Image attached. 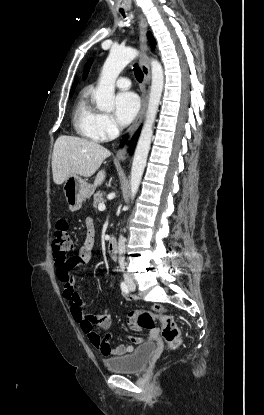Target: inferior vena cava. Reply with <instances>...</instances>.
<instances>
[{"instance_id":"inferior-vena-cava-1","label":"inferior vena cava","mask_w":264,"mask_h":415,"mask_svg":"<svg viewBox=\"0 0 264 415\" xmlns=\"http://www.w3.org/2000/svg\"><path fill=\"white\" fill-rule=\"evenodd\" d=\"M118 251H119V266L123 270L125 268V239L123 236H120L118 242Z\"/></svg>"}]
</instances>
